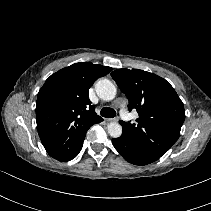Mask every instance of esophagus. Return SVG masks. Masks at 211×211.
Returning <instances> with one entry per match:
<instances>
[{
	"label": "esophagus",
	"mask_w": 211,
	"mask_h": 211,
	"mask_svg": "<svg viewBox=\"0 0 211 211\" xmlns=\"http://www.w3.org/2000/svg\"><path fill=\"white\" fill-rule=\"evenodd\" d=\"M106 120L109 122H117L118 118H107Z\"/></svg>",
	"instance_id": "34e87169"
}]
</instances>
